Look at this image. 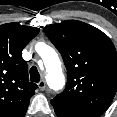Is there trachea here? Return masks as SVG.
<instances>
[{"mask_svg":"<svg viewBox=\"0 0 117 117\" xmlns=\"http://www.w3.org/2000/svg\"><path fill=\"white\" fill-rule=\"evenodd\" d=\"M30 80L36 83L40 81V74L35 66L30 69Z\"/></svg>","mask_w":117,"mask_h":117,"instance_id":"trachea-1","label":"trachea"}]
</instances>
